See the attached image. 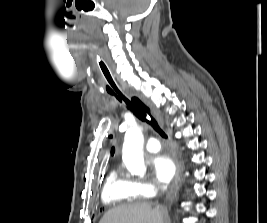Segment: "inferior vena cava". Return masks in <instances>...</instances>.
Here are the masks:
<instances>
[{
  "mask_svg": "<svg viewBox=\"0 0 267 223\" xmlns=\"http://www.w3.org/2000/svg\"><path fill=\"white\" fill-rule=\"evenodd\" d=\"M161 189L164 190L165 189V186H161Z\"/></svg>",
  "mask_w": 267,
  "mask_h": 223,
  "instance_id": "inferior-vena-cava-1",
  "label": "inferior vena cava"
}]
</instances>
